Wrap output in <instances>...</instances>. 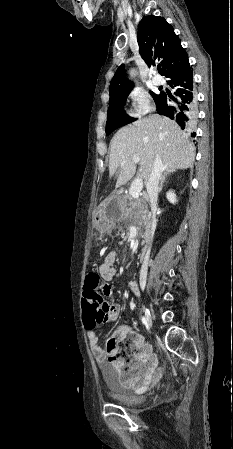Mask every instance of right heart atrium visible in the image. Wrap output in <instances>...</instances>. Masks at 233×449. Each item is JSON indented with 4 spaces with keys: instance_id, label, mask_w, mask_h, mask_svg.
<instances>
[{
    "instance_id": "1",
    "label": "right heart atrium",
    "mask_w": 233,
    "mask_h": 449,
    "mask_svg": "<svg viewBox=\"0 0 233 449\" xmlns=\"http://www.w3.org/2000/svg\"><path fill=\"white\" fill-rule=\"evenodd\" d=\"M128 98L131 104L132 117H143L146 114L150 113L153 109L150 95L142 88H132L128 93Z\"/></svg>"
}]
</instances>
